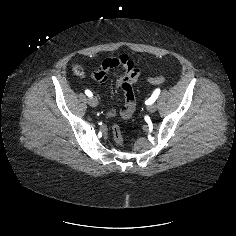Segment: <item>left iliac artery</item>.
Wrapping results in <instances>:
<instances>
[{"instance_id": "obj_1", "label": "left iliac artery", "mask_w": 236, "mask_h": 236, "mask_svg": "<svg viewBox=\"0 0 236 236\" xmlns=\"http://www.w3.org/2000/svg\"><path fill=\"white\" fill-rule=\"evenodd\" d=\"M159 94H160V89L157 88V89L153 92L152 96L146 101V103H147V104H152V103H154L155 100L157 99V97L159 96Z\"/></svg>"}]
</instances>
